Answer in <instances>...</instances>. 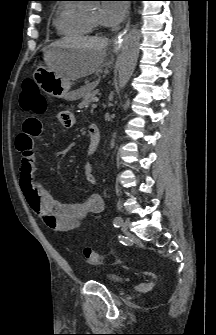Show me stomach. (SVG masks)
<instances>
[{
    "label": "stomach",
    "mask_w": 216,
    "mask_h": 335,
    "mask_svg": "<svg viewBox=\"0 0 216 335\" xmlns=\"http://www.w3.org/2000/svg\"><path fill=\"white\" fill-rule=\"evenodd\" d=\"M45 66L37 68L34 72V80L39 87L47 94L75 101L83 96V88L71 90V79L62 74L77 49L72 47L47 46L44 48Z\"/></svg>",
    "instance_id": "0dacf381"
}]
</instances>
